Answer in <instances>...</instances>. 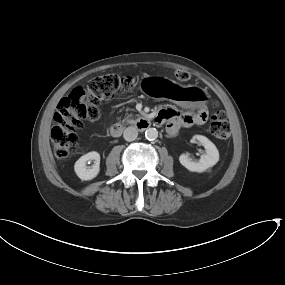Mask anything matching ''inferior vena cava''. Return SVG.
I'll use <instances>...</instances> for the list:
<instances>
[{"label":"inferior vena cava","instance_id":"obj_1","mask_svg":"<svg viewBox=\"0 0 285 285\" xmlns=\"http://www.w3.org/2000/svg\"><path fill=\"white\" fill-rule=\"evenodd\" d=\"M137 136H138V130L133 126L127 127L124 130L123 137L126 141H134L137 138Z\"/></svg>","mask_w":285,"mask_h":285}]
</instances>
